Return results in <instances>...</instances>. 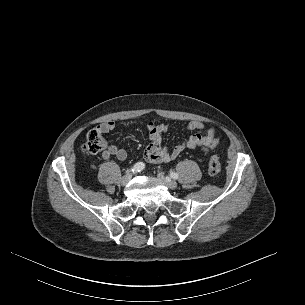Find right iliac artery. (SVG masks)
Segmentation results:
<instances>
[{"instance_id":"1","label":"right iliac artery","mask_w":305,"mask_h":305,"mask_svg":"<svg viewBox=\"0 0 305 305\" xmlns=\"http://www.w3.org/2000/svg\"><path fill=\"white\" fill-rule=\"evenodd\" d=\"M144 168H145V164L143 162H138L132 167L131 171L133 173H138L142 171Z\"/></svg>"}]
</instances>
